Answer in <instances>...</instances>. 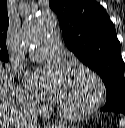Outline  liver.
Returning <instances> with one entry per match:
<instances>
[{"instance_id":"liver-1","label":"liver","mask_w":125,"mask_h":128,"mask_svg":"<svg viewBox=\"0 0 125 128\" xmlns=\"http://www.w3.org/2000/svg\"><path fill=\"white\" fill-rule=\"evenodd\" d=\"M24 120L14 103L12 80L0 62V128H20Z\"/></svg>"}]
</instances>
